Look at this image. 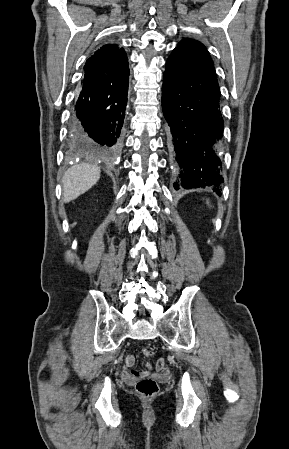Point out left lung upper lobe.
<instances>
[{
	"label": "left lung upper lobe",
	"mask_w": 289,
	"mask_h": 449,
	"mask_svg": "<svg viewBox=\"0 0 289 449\" xmlns=\"http://www.w3.org/2000/svg\"><path fill=\"white\" fill-rule=\"evenodd\" d=\"M177 48L201 53L210 58L206 47L199 41L185 38L178 43Z\"/></svg>",
	"instance_id": "5c2ea615"
}]
</instances>
